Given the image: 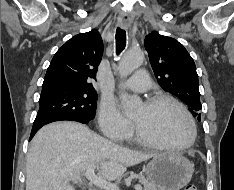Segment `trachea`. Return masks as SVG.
Returning a JSON list of instances; mask_svg holds the SVG:
<instances>
[{
	"instance_id": "obj_1",
	"label": "trachea",
	"mask_w": 234,
	"mask_h": 190,
	"mask_svg": "<svg viewBox=\"0 0 234 190\" xmlns=\"http://www.w3.org/2000/svg\"><path fill=\"white\" fill-rule=\"evenodd\" d=\"M116 54L119 55L126 46V32L121 28L116 30Z\"/></svg>"
}]
</instances>
